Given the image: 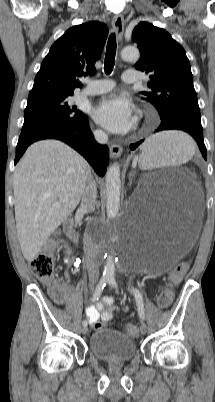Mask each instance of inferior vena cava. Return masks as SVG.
Masks as SVG:
<instances>
[{
    "instance_id": "1",
    "label": "inferior vena cava",
    "mask_w": 215,
    "mask_h": 402,
    "mask_svg": "<svg viewBox=\"0 0 215 402\" xmlns=\"http://www.w3.org/2000/svg\"><path fill=\"white\" fill-rule=\"evenodd\" d=\"M95 138L101 144H105L108 142V135L103 131H96ZM96 199V183L93 180V177L90 176L87 180L79 209L84 213L92 212L95 209ZM84 252L89 280L91 282H96L99 278L98 255L95 245L87 234L84 237Z\"/></svg>"
}]
</instances>
